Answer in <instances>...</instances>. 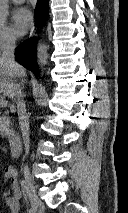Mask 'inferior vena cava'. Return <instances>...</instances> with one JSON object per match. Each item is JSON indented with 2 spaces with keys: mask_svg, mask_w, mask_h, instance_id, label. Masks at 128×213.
<instances>
[{
  "mask_svg": "<svg viewBox=\"0 0 128 213\" xmlns=\"http://www.w3.org/2000/svg\"><path fill=\"white\" fill-rule=\"evenodd\" d=\"M15 41L16 39L13 36L6 37L1 60L10 67L11 73L14 77H19L21 75L22 67L18 63H16L14 59ZM10 97L15 101L17 105L18 120L22 133L23 143L25 146V154L28 155L30 141L29 121L26 115V106L23 100L24 95L22 93V88L19 81H17V83L11 90Z\"/></svg>",
  "mask_w": 128,
  "mask_h": 213,
  "instance_id": "inferior-vena-cava-1",
  "label": "inferior vena cava"
}]
</instances>
